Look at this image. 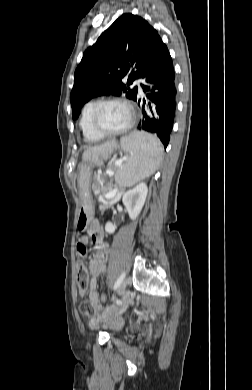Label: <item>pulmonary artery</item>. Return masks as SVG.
Wrapping results in <instances>:
<instances>
[{"label":"pulmonary artery","instance_id":"e3ab8cb5","mask_svg":"<svg viewBox=\"0 0 252 390\" xmlns=\"http://www.w3.org/2000/svg\"><path fill=\"white\" fill-rule=\"evenodd\" d=\"M134 85L138 86L139 92L142 93V89L140 87V81H136Z\"/></svg>","mask_w":252,"mask_h":390}]
</instances>
